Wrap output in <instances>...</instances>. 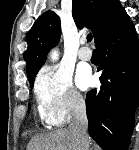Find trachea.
Instances as JSON below:
<instances>
[{
  "mask_svg": "<svg viewBox=\"0 0 139 150\" xmlns=\"http://www.w3.org/2000/svg\"><path fill=\"white\" fill-rule=\"evenodd\" d=\"M87 41H88V42H91V41H92V34H88V35H87Z\"/></svg>",
  "mask_w": 139,
  "mask_h": 150,
  "instance_id": "3493384b",
  "label": "trachea"
}]
</instances>
